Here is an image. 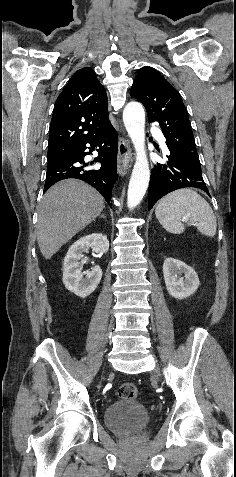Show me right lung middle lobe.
I'll return each instance as SVG.
<instances>
[{
    "mask_svg": "<svg viewBox=\"0 0 236 477\" xmlns=\"http://www.w3.org/2000/svg\"><path fill=\"white\" fill-rule=\"evenodd\" d=\"M62 159H63V158H62V157H60V156L48 157V162H50V163H51V162H52V163H54V162L60 161V160H62Z\"/></svg>",
    "mask_w": 236,
    "mask_h": 477,
    "instance_id": "right-lung-middle-lobe-1",
    "label": "right lung middle lobe"
}]
</instances>
